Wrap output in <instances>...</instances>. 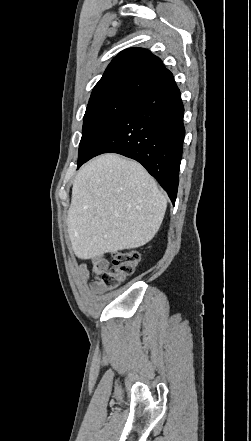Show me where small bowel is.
Instances as JSON below:
<instances>
[{
    "label": "small bowel",
    "instance_id": "small-bowel-1",
    "mask_svg": "<svg viewBox=\"0 0 251 441\" xmlns=\"http://www.w3.org/2000/svg\"><path fill=\"white\" fill-rule=\"evenodd\" d=\"M89 262L93 266L94 272L96 274V278L92 283L90 282V270L88 267V262L83 261L77 267V273L81 282L84 285L89 286L91 291L95 294L101 295L106 293L110 288L102 283L101 279L99 278V275L102 274L104 270L107 268L108 266L107 259L101 256V257H95L89 260Z\"/></svg>",
    "mask_w": 251,
    "mask_h": 441
}]
</instances>
